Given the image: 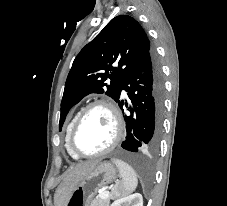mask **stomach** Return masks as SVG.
Here are the masks:
<instances>
[{
    "label": "stomach",
    "mask_w": 227,
    "mask_h": 206,
    "mask_svg": "<svg viewBox=\"0 0 227 206\" xmlns=\"http://www.w3.org/2000/svg\"><path fill=\"white\" fill-rule=\"evenodd\" d=\"M117 170L110 162H100L76 186L66 206H90L93 196L116 179ZM66 200V199H65Z\"/></svg>",
    "instance_id": "0dacf381"
}]
</instances>
